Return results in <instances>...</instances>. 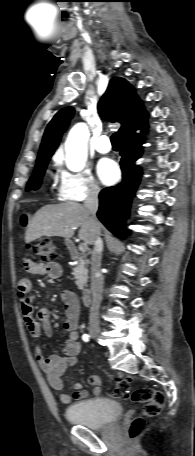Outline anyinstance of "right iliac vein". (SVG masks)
<instances>
[{
    "label": "right iliac vein",
    "mask_w": 195,
    "mask_h": 456,
    "mask_svg": "<svg viewBox=\"0 0 195 456\" xmlns=\"http://www.w3.org/2000/svg\"><path fill=\"white\" fill-rule=\"evenodd\" d=\"M89 333L92 338H97L99 336L100 330L98 327L93 326V327H90Z\"/></svg>",
    "instance_id": "obj_1"
}]
</instances>
